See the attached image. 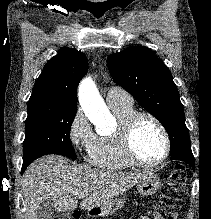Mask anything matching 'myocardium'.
<instances>
[{"label":"myocardium","mask_w":211,"mask_h":219,"mask_svg":"<svg viewBox=\"0 0 211 219\" xmlns=\"http://www.w3.org/2000/svg\"><path fill=\"white\" fill-rule=\"evenodd\" d=\"M150 119L153 121L157 127L159 128L160 132L162 133L163 139H164V152L160 159H158L155 162H145L141 160L134 148V132L135 128L138 124V122L141 119ZM120 140H121V147L123 150V153L127 160H129L133 165L142 167V168H155L163 163L166 162V160L170 156L171 152V141L169 137V133L162 123V121L155 116L154 114L150 112H134L132 115H130L124 122V124L121 127L120 131Z\"/></svg>","instance_id":"f54148a6"}]
</instances>
